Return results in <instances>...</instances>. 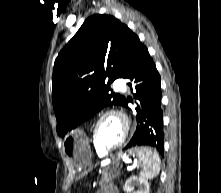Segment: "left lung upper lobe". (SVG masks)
<instances>
[{
  "label": "left lung upper lobe",
  "instance_id": "1",
  "mask_svg": "<svg viewBox=\"0 0 221 193\" xmlns=\"http://www.w3.org/2000/svg\"><path fill=\"white\" fill-rule=\"evenodd\" d=\"M140 40L111 15L89 17L59 53L53 70L52 99L57 133L91 118L108 105L125 106L126 98L110 84L123 73Z\"/></svg>",
  "mask_w": 221,
  "mask_h": 193
}]
</instances>
